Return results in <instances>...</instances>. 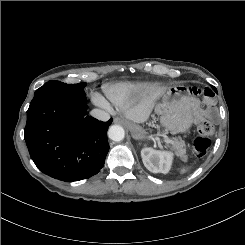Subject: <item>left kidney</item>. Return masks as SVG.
<instances>
[{"label": "left kidney", "mask_w": 245, "mask_h": 245, "mask_svg": "<svg viewBox=\"0 0 245 245\" xmlns=\"http://www.w3.org/2000/svg\"><path fill=\"white\" fill-rule=\"evenodd\" d=\"M141 157L144 166L153 173H168L173 161L171 152L157 151L152 148L142 149Z\"/></svg>", "instance_id": "left-kidney-1"}]
</instances>
